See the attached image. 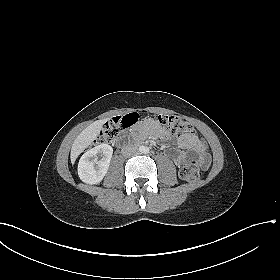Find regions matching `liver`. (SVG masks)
Listing matches in <instances>:
<instances>
[{"label": "liver", "mask_w": 280, "mask_h": 280, "mask_svg": "<svg viewBox=\"0 0 280 280\" xmlns=\"http://www.w3.org/2000/svg\"><path fill=\"white\" fill-rule=\"evenodd\" d=\"M106 119L97 120L86 127L74 140L71 147V163L74 164L77 157L97 138Z\"/></svg>", "instance_id": "obj_1"}]
</instances>
